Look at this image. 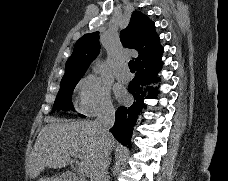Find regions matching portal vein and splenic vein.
I'll list each match as a JSON object with an SVG mask.
<instances>
[{"instance_id":"obj_1","label":"portal vein and splenic vein","mask_w":228,"mask_h":181,"mask_svg":"<svg viewBox=\"0 0 228 181\" xmlns=\"http://www.w3.org/2000/svg\"><path fill=\"white\" fill-rule=\"evenodd\" d=\"M71 155L77 159V153H71ZM78 171L81 175H89L88 167L85 163H78Z\"/></svg>"}]
</instances>
